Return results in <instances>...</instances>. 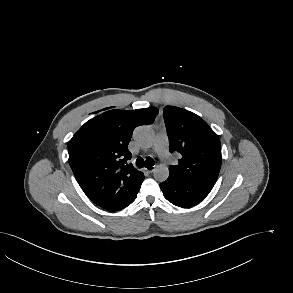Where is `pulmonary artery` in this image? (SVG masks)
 I'll return each instance as SVG.
<instances>
[{"mask_svg":"<svg viewBox=\"0 0 293 293\" xmlns=\"http://www.w3.org/2000/svg\"><path fill=\"white\" fill-rule=\"evenodd\" d=\"M168 146L169 142L167 133L165 131L158 133L154 144V150L162 160L169 163L171 161V156L169 154Z\"/></svg>","mask_w":293,"mask_h":293,"instance_id":"pulmonary-artery-1","label":"pulmonary artery"}]
</instances>
